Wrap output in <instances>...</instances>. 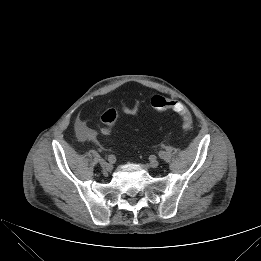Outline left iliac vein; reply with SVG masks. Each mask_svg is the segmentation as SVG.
<instances>
[{
	"instance_id": "left-iliac-vein-1",
	"label": "left iliac vein",
	"mask_w": 261,
	"mask_h": 261,
	"mask_svg": "<svg viewBox=\"0 0 261 261\" xmlns=\"http://www.w3.org/2000/svg\"><path fill=\"white\" fill-rule=\"evenodd\" d=\"M149 166L151 168H157L159 166V161L157 159H152L150 162H149Z\"/></svg>"
}]
</instances>
